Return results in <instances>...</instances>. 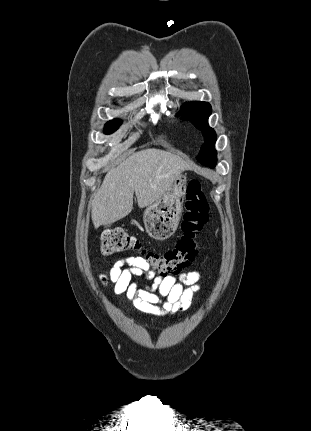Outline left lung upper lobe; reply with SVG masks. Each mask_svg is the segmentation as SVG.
Instances as JSON below:
<instances>
[{
	"label": "left lung upper lobe",
	"mask_w": 311,
	"mask_h": 431,
	"mask_svg": "<svg viewBox=\"0 0 311 431\" xmlns=\"http://www.w3.org/2000/svg\"><path fill=\"white\" fill-rule=\"evenodd\" d=\"M211 111V106L207 102H190L183 105L177 116H181L183 120H190L196 128L202 130L205 143L201 147L197 160L206 166L214 167L217 161V153L214 149L216 133L209 127L207 121Z\"/></svg>",
	"instance_id": "5c2ea615"
}]
</instances>
